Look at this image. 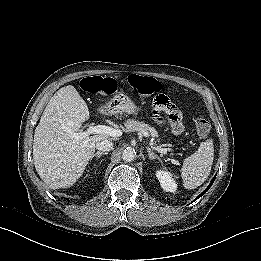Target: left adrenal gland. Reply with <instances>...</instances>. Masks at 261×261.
I'll return each instance as SVG.
<instances>
[{"instance_id":"obj_1","label":"left adrenal gland","mask_w":261,"mask_h":261,"mask_svg":"<svg viewBox=\"0 0 261 261\" xmlns=\"http://www.w3.org/2000/svg\"><path fill=\"white\" fill-rule=\"evenodd\" d=\"M146 149H147L148 156H149L150 160H153V159L160 160L159 156L156 155L154 152H152V150L149 147H147Z\"/></svg>"}]
</instances>
